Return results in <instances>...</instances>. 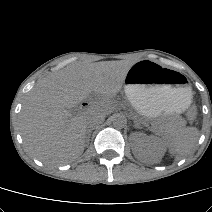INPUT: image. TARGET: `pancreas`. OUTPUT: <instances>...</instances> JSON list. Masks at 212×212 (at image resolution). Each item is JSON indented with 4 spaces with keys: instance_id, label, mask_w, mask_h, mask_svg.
Returning <instances> with one entry per match:
<instances>
[{
    "instance_id": "cf45deb5",
    "label": "pancreas",
    "mask_w": 212,
    "mask_h": 212,
    "mask_svg": "<svg viewBox=\"0 0 212 212\" xmlns=\"http://www.w3.org/2000/svg\"><path fill=\"white\" fill-rule=\"evenodd\" d=\"M172 131H174V128H173V127L167 129V132H168V133H170V132H172Z\"/></svg>"
}]
</instances>
